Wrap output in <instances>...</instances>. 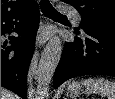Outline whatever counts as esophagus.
Returning a JSON list of instances; mask_svg holds the SVG:
<instances>
[{
  "label": "esophagus",
  "instance_id": "obj_1",
  "mask_svg": "<svg viewBox=\"0 0 115 99\" xmlns=\"http://www.w3.org/2000/svg\"><path fill=\"white\" fill-rule=\"evenodd\" d=\"M47 40H48V36L44 31V24H42L37 35L36 44L37 46H42L45 44Z\"/></svg>",
  "mask_w": 115,
  "mask_h": 99
}]
</instances>
